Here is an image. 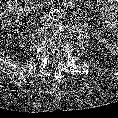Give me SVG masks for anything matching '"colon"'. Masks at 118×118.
Masks as SVG:
<instances>
[{
	"label": "colon",
	"instance_id": "colon-1",
	"mask_svg": "<svg viewBox=\"0 0 118 118\" xmlns=\"http://www.w3.org/2000/svg\"><path fill=\"white\" fill-rule=\"evenodd\" d=\"M32 0H4L0 17L7 18L12 15L22 16L31 10Z\"/></svg>",
	"mask_w": 118,
	"mask_h": 118
}]
</instances>
